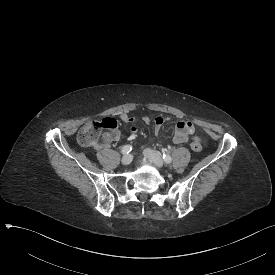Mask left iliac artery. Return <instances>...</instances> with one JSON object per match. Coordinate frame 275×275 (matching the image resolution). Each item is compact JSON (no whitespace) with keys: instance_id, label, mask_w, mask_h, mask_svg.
Segmentation results:
<instances>
[{"instance_id":"44dca946","label":"left iliac artery","mask_w":275,"mask_h":275,"mask_svg":"<svg viewBox=\"0 0 275 275\" xmlns=\"http://www.w3.org/2000/svg\"><path fill=\"white\" fill-rule=\"evenodd\" d=\"M162 157H163V159H164V161H165L166 163H171L172 158H171V156H170L169 154L163 153Z\"/></svg>"}]
</instances>
